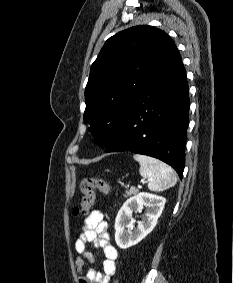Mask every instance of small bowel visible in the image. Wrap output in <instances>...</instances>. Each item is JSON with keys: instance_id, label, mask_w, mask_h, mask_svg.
I'll return each instance as SVG.
<instances>
[{"instance_id": "obj_1", "label": "small bowel", "mask_w": 233, "mask_h": 283, "mask_svg": "<svg viewBox=\"0 0 233 283\" xmlns=\"http://www.w3.org/2000/svg\"><path fill=\"white\" fill-rule=\"evenodd\" d=\"M88 245L103 250L102 272L91 268L83 274L85 262H94V257L87 248ZM75 250L78 253L75 263L78 272L81 274L79 283H111V278L116 272L118 251L110 242L108 224L100 210H93L86 217L83 231L75 242Z\"/></svg>"}]
</instances>
